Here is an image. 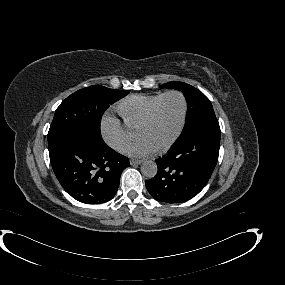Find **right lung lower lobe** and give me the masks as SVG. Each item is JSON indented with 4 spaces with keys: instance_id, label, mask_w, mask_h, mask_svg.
<instances>
[{
    "instance_id": "98d812e1",
    "label": "right lung lower lobe",
    "mask_w": 285,
    "mask_h": 285,
    "mask_svg": "<svg viewBox=\"0 0 285 285\" xmlns=\"http://www.w3.org/2000/svg\"><path fill=\"white\" fill-rule=\"evenodd\" d=\"M53 171L62 187L85 204H101L116 194L129 159L102 140L72 133L48 146Z\"/></svg>"
}]
</instances>
